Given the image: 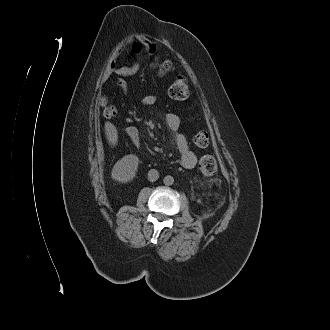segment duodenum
Returning <instances> with one entry per match:
<instances>
[{
    "label": "duodenum",
    "instance_id": "1",
    "mask_svg": "<svg viewBox=\"0 0 330 330\" xmlns=\"http://www.w3.org/2000/svg\"><path fill=\"white\" fill-rule=\"evenodd\" d=\"M130 135L132 136L133 139H137V137H138L136 131H132Z\"/></svg>",
    "mask_w": 330,
    "mask_h": 330
}]
</instances>
